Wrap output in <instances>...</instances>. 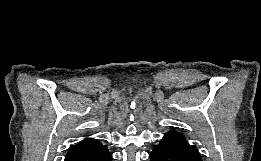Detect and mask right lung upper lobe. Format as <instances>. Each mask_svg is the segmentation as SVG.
<instances>
[{"label":"right lung upper lobe","mask_w":261,"mask_h":161,"mask_svg":"<svg viewBox=\"0 0 261 161\" xmlns=\"http://www.w3.org/2000/svg\"><path fill=\"white\" fill-rule=\"evenodd\" d=\"M99 144H101L99 141L92 139V138H88V139L81 141L77 145H72L69 151L83 150V149L90 148V147H93V146H96Z\"/></svg>","instance_id":"cb5924a9"}]
</instances>
